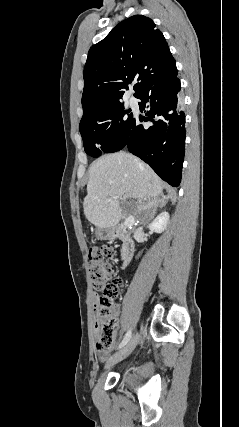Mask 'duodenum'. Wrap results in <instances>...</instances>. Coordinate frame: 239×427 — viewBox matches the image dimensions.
Instances as JSON below:
<instances>
[{
	"label": "duodenum",
	"mask_w": 239,
	"mask_h": 427,
	"mask_svg": "<svg viewBox=\"0 0 239 427\" xmlns=\"http://www.w3.org/2000/svg\"><path fill=\"white\" fill-rule=\"evenodd\" d=\"M111 234L121 239V261L123 266H127L135 253V241L130 232L123 227L113 228Z\"/></svg>",
	"instance_id": "410a0bca"
}]
</instances>
